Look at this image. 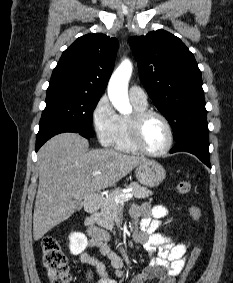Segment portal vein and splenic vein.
<instances>
[{
  "instance_id": "portal-vein-and-splenic-vein-1",
  "label": "portal vein and splenic vein",
  "mask_w": 233,
  "mask_h": 283,
  "mask_svg": "<svg viewBox=\"0 0 233 283\" xmlns=\"http://www.w3.org/2000/svg\"><path fill=\"white\" fill-rule=\"evenodd\" d=\"M99 174H100L99 171H94V172L92 173L93 176H97V175H99ZM132 197H133V194H132V193H127V194L119 195V196H116V197H115V202H117V203H122V202H125V201L131 199Z\"/></svg>"
}]
</instances>
